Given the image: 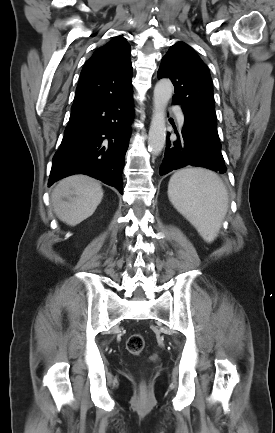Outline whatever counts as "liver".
<instances>
[{"mask_svg":"<svg viewBox=\"0 0 275 433\" xmlns=\"http://www.w3.org/2000/svg\"><path fill=\"white\" fill-rule=\"evenodd\" d=\"M103 198L100 183L85 175H73L59 181L51 194L56 216L70 226L89 218Z\"/></svg>","mask_w":275,"mask_h":433,"instance_id":"obj_1","label":"liver"}]
</instances>
